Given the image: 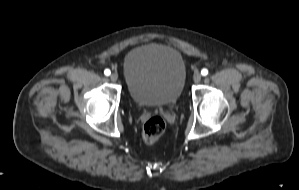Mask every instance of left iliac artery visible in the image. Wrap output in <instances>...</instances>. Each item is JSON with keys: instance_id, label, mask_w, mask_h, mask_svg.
<instances>
[{"instance_id": "obj_1", "label": "left iliac artery", "mask_w": 299, "mask_h": 190, "mask_svg": "<svg viewBox=\"0 0 299 190\" xmlns=\"http://www.w3.org/2000/svg\"><path fill=\"white\" fill-rule=\"evenodd\" d=\"M201 74H202L203 76H206V75L208 74V70H207L206 68L202 69V70H201Z\"/></svg>"}]
</instances>
